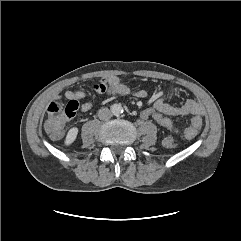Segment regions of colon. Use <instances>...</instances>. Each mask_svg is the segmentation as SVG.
<instances>
[{
  "label": "colon",
  "mask_w": 241,
  "mask_h": 241,
  "mask_svg": "<svg viewBox=\"0 0 241 241\" xmlns=\"http://www.w3.org/2000/svg\"><path fill=\"white\" fill-rule=\"evenodd\" d=\"M92 87L96 92L100 93H104L106 90L104 82L101 81L95 83ZM78 107L79 103L76 100H71L67 104H63L61 101L50 103L47 108V119L44 124L46 132L52 138H60L63 135L66 122L76 114ZM151 117L160 126L174 133H179L185 139L194 138L201 131L203 125L201 118L194 117L187 128L178 130L173 121L160 112H153ZM164 145L167 148H175L177 142L174 138L168 137L164 140Z\"/></svg>",
  "instance_id": "obj_1"
}]
</instances>
